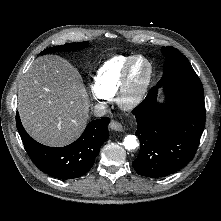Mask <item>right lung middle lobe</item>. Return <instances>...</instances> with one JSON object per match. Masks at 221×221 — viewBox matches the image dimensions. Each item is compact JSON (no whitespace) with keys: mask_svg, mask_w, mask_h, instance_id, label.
Listing matches in <instances>:
<instances>
[{"mask_svg":"<svg viewBox=\"0 0 221 221\" xmlns=\"http://www.w3.org/2000/svg\"><path fill=\"white\" fill-rule=\"evenodd\" d=\"M88 45V42H79V43H68L65 45H60L56 47H50L48 49H45L42 54H47L49 52H54L57 50H66V51H74V50H80L85 48Z\"/></svg>","mask_w":221,"mask_h":221,"instance_id":"dd1d6c3e","label":"right lung middle lobe"}]
</instances>
